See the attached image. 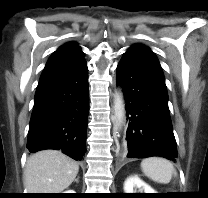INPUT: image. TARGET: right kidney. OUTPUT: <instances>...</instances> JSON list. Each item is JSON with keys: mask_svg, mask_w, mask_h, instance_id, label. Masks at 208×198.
Masks as SVG:
<instances>
[{"mask_svg": "<svg viewBox=\"0 0 208 198\" xmlns=\"http://www.w3.org/2000/svg\"><path fill=\"white\" fill-rule=\"evenodd\" d=\"M64 193H75V191H73V190H68V191H65Z\"/></svg>", "mask_w": 208, "mask_h": 198, "instance_id": "right-kidney-1", "label": "right kidney"}]
</instances>
